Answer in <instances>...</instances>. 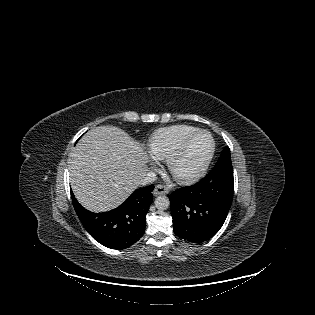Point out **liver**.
Returning a JSON list of instances; mask_svg holds the SVG:
<instances>
[{
	"label": "liver",
	"instance_id": "6515ba94",
	"mask_svg": "<svg viewBox=\"0 0 315 315\" xmlns=\"http://www.w3.org/2000/svg\"><path fill=\"white\" fill-rule=\"evenodd\" d=\"M69 160L70 182L79 203L109 211L141 185L148 161L142 146L122 129L104 125L88 131Z\"/></svg>",
	"mask_w": 315,
	"mask_h": 315
}]
</instances>
